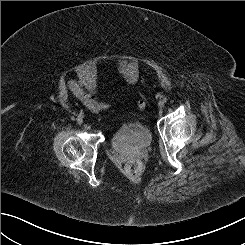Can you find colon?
<instances>
[{
	"label": "colon",
	"instance_id": "obj_1",
	"mask_svg": "<svg viewBox=\"0 0 245 245\" xmlns=\"http://www.w3.org/2000/svg\"><path fill=\"white\" fill-rule=\"evenodd\" d=\"M138 106L140 108H144L145 107V101L144 99H140L138 101ZM125 171L132 176H136L138 175L141 171H142V164L141 162H139L136 159H132L130 161H128L125 165Z\"/></svg>",
	"mask_w": 245,
	"mask_h": 245
}]
</instances>
